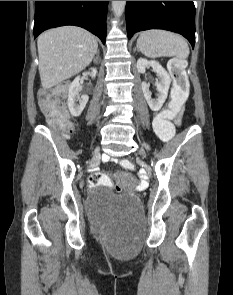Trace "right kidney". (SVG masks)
I'll list each match as a JSON object with an SVG mask.
<instances>
[{"instance_id":"right-kidney-1","label":"right kidney","mask_w":233,"mask_h":295,"mask_svg":"<svg viewBox=\"0 0 233 295\" xmlns=\"http://www.w3.org/2000/svg\"><path fill=\"white\" fill-rule=\"evenodd\" d=\"M89 74L92 78H95L97 74L96 68H92ZM79 80L80 77L77 76L68 88V108L73 117L80 116L89 99L87 95H81Z\"/></svg>"}]
</instances>
